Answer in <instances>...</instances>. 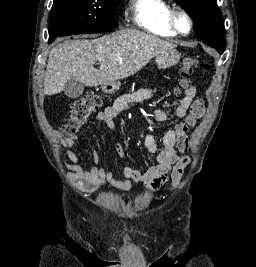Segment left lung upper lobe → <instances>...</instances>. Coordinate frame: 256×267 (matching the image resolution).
Instances as JSON below:
<instances>
[{
    "instance_id": "left-lung-upper-lobe-1",
    "label": "left lung upper lobe",
    "mask_w": 256,
    "mask_h": 267,
    "mask_svg": "<svg viewBox=\"0 0 256 267\" xmlns=\"http://www.w3.org/2000/svg\"><path fill=\"white\" fill-rule=\"evenodd\" d=\"M192 17L196 34L220 54L225 50L224 26L216 0H174Z\"/></svg>"
}]
</instances>
